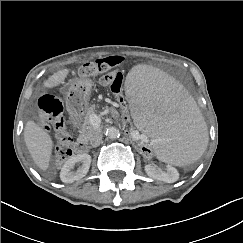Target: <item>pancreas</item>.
<instances>
[{
	"instance_id": "1",
	"label": "pancreas",
	"mask_w": 243,
	"mask_h": 243,
	"mask_svg": "<svg viewBox=\"0 0 243 243\" xmlns=\"http://www.w3.org/2000/svg\"><path fill=\"white\" fill-rule=\"evenodd\" d=\"M96 111V105L89 107L86 116L84 117L83 124L80 128L79 138L84 141H92V139L100 133V129L93 125L91 122V116Z\"/></svg>"
}]
</instances>
